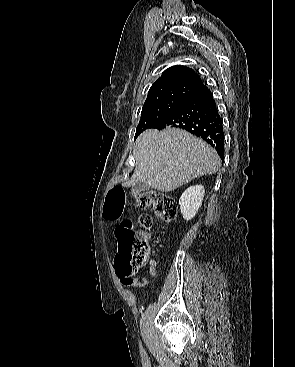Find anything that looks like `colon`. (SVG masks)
<instances>
[{"label":"colon","mask_w":295,"mask_h":367,"mask_svg":"<svg viewBox=\"0 0 295 367\" xmlns=\"http://www.w3.org/2000/svg\"><path fill=\"white\" fill-rule=\"evenodd\" d=\"M128 197L122 187H113L107 197L105 218L118 220L126 205ZM135 206L151 207L155 216L172 221L177 216V204L173 197L155 190L137 193L134 196ZM149 216H141L139 225L143 228L151 226ZM117 252L115 255V270L119 276H130L146 265L150 258V247L145 236L136 230L129 220L122 221L116 228Z\"/></svg>","instance_id":"1"}]
</instances>
